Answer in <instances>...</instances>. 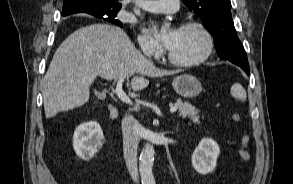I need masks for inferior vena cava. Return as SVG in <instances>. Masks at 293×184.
I'll return each mask as SVG.
<instances>
[{
	"label": "inferior vena cava",
	"instance_id": "inferior-vena-cava-1",
	"mask_svg": "<svg viewBox=\"0 0 293 184\" xmlns=\"http://www.w3.org/2000/svg\"><path fill=\"white\" fill-rule=\"evenodd\" d=\"M143 52L150 56V52L142 47ZM122 133H123V153L127 169L132 180L139 183L138 168H137V148L139 142L137 120L132 115H125L122 119Z\"/></svg>",
	"mask_w": 293,
	"mask_h": 184
}]
</instances>
